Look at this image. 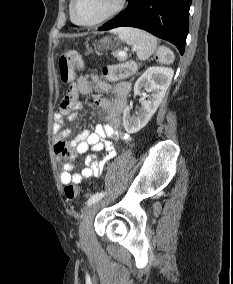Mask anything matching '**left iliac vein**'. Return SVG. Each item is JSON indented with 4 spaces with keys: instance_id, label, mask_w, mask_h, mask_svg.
I'll use <instances>...</instances> for the list:
<instances>
[{
    "instance_id": "left-iliac-vein-1",
    "label": "left iliac vein",
    "mask_w": 233,
    "mask_h": 284,
    "mask_svg": "<svg viewBox=\"0 0 233 284\" xmlns=\"http://www.w3.org/2000/svg\"><path fill=\"white\" fill-rule=\"evenodd\" d=\"M99 203L89 205L83 214L82 222L80 224V240L82 245H89L91 243V227L95 213L98 209Z\"/></svg>"
}]
</instances>
